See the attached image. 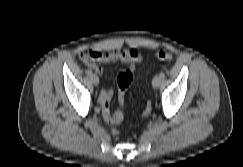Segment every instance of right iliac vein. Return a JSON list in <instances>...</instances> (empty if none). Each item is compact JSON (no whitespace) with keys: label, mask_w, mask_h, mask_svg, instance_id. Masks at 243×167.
I'll list each match as a JSON object with an SVG mask.
<instances>
[{"label":"right iliac vein","mask_w":243,"mask_h":167,"mask_svg":"<svg viewBox=\"0 0 243 167\" xmlns=\"http://www.w3.org/2000/svg\"><path fill=\"white\" fill-rule=\"evenodd\" d=\"M91 80H92V83H93L94 85H98V84H99V78H98L97 75H92V76H91Z\"/></svg>","instance_id":"1"}]
</instances>
